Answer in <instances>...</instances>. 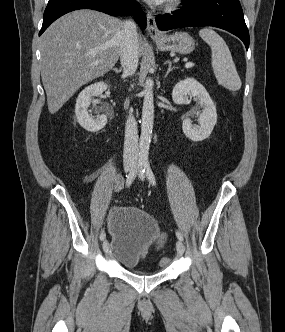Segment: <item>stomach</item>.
I'll return each mask as SVG.
<instances>
[{"label":"stomach","instance_id":"obj_1","mask_svg":"<svg viewBox=\"0 0 285 332\" xmlns=\"http://www.w3.org/2000/svg\"><path fill=\"white\" fill-rule=\"evenodd\" d=\"M161 51H173L180 54H189L195 49V41L187 32H176L172 35H163L154 38Z\"/></svg>","mask_w":285,"mask_h":332}]
</instances>
